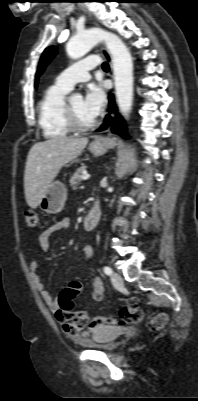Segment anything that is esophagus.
I'll list each match as a JSON object with an SVG mask.
<instances>
[{
	"label": "esophagus",
	"mask_w": 198,
	"mask_h": 401,
	"mask_svg": "<svg viewBox=\"0 0 198 401\" xmlns=\"http://www.w3.org/2000/svg\"><path fill=\"white\" fill-rule=\"evenodd\" d=\"M83 10H85V9H83ZM101 52H102V55L105 57V59L107 61H109V63L111 64L112 63L111 56H110L109 52L107 51V49L104 46H102ZM109 136H111V131L110 130H109V133H108V137ZM108 137H104V138L98 140V142L105 143L108 140Z\"/></svg>",
	"instance_id": "esophagus-1"
}]
</instances>
